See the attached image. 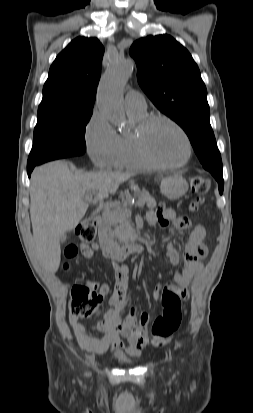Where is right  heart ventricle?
Segmentation results:
<instances>
[{
    "instance_id": "right-heart-ventricle-1",
    "label": "right heart ventricle",
    "mask_w": 253,
    "mask_h": 413,
    "mask_svg": "<svg viewBox=\"0 0 253 413\" xmlns=\"http://www.w3.org/2000/svg\"><path fill=\"white\" fill-rule=\"evenodd\" d=\"M129 117L136 123H140L147 117V113H136L127 111ZM112 166L115 168L148 169L152 168L140 155L136 142L135 134L119 135V147L114 157Z\"/></svg>"
}]
</instances>
